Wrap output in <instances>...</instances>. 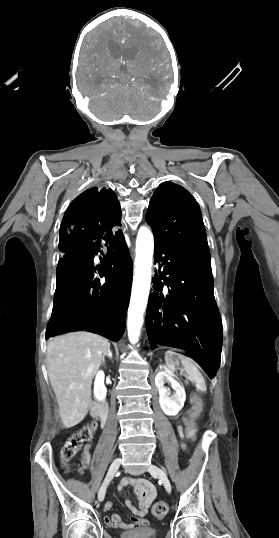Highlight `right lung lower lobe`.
<instances>
[{
    "label": "right lung lower lobe",
    "instance_id": "1",
    "mask_svg": "<svg viewBox=\"0 0 279 538\" xmlns=\"http://www.w3.org/2000/svg\"><path fill=\"white\" fill-rule=\"evenodd\" d=\"M120 222V204L111 189H88L66 210L46 338L81 330H95L113 340L122 337L132 263ZM103 247L107 253L96 264L93 258Z\"/></svg>",
    "mask_w": 279,
    "mask_h": 538
}]
</instances>
